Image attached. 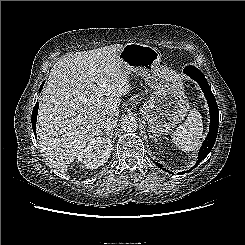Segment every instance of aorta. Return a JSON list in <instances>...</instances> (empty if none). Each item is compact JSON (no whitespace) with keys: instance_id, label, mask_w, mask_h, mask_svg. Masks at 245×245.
<instances>
[{"instance_id":"aorta-1","label":"aorta","mask_w":245,"mask_h":245,"mask_svg":"<svg viewBox=\"0 0 245 245\" xmlns=\"http://www.w3.org/2000/svg\"><path fill=\"white\" fill-rule=\"evenodd\" d=\"M137 126L138 124L134 116H125L121 120V127L125 132H134Z\"/></svg>"}]
</instances>
